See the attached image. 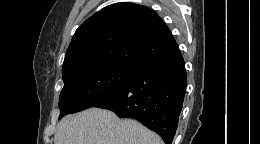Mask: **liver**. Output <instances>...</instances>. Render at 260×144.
Instances as JSON below:
<instances>
[{
	"label": "liver",
	"mask_w": 260,
	"mask_h": 144,
	"mask_svg": "<svg viewBox=\"0 0 260 144\" xmlns=\"http://www.w3.org/2000/svg\"><path fill=\"white\" fill-rule=\"evenodd\" d=\"M54 144H163L154 132L133 119L120 120L109 110L89 108L64 117Z\"/></svg>",
	"instance_id": "6515ba94"
}]
</instances>
